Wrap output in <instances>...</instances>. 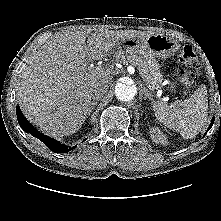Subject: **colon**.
I'll list each match as a JSON object with an SVG mask.
<instances>
[{"label": "colon", "instance_id": "5ec220e1", "mask_svg": "<svg viewBox=\"0 0 221 221\" xmlns=\"http://www.w3.org/2000/svg\"><path fill=\"white\" fill-rule=\"evenodd\" d=\"M180 62L183 67L176 69L175 74L178 80L182 83L192 85L196 81L194 69L198 66L197 56L194 49L190 45L183 47L180 54Z\"/></svg>", "mask_w": 221, "mask_h": 221}]
</instances>
